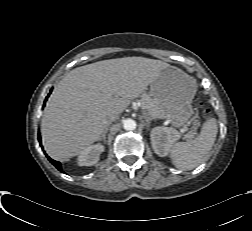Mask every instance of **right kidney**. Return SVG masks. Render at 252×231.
<instances>
[{
    "label": "right kidney",
    "mask_w": 252,
    "mask_h": 231,
    "mask_svg": "<svg viewBox=\"0 0 252 231\" xmlns=\"http://www.w3.org/2000/svg\"><path fill=\"white\" fill-rule=\"evenodd\" d=\"M104 151V146L100 144L91 145L85 148L78 156L77 161L80 166H92L99 161L100 154Z\"/></svg>",
    "instance_id": "obj_1"
}]
</instances>
